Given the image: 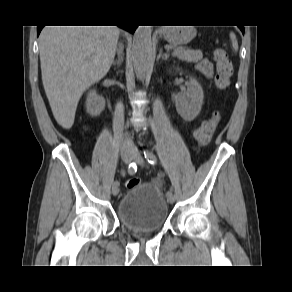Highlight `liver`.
I'll return each instance as SVG.
<instances>
[{
  "label": "liver",
  "instance_id": "liver-1",
  "mask_svg": "<svg viewBox=\"0 0 292 292\" xmlns=\"http://www.w3.org/2000/svg\"><path fill=\"white\" fill-rule=\"evenodd\" d=\"M116 26H45L39 36L42 82L57 123L70 129L84 91L109 71Z\"/></svg>",
  "mask_w": 292,
  "mask_h": 292
}]
</instances>
